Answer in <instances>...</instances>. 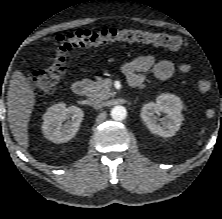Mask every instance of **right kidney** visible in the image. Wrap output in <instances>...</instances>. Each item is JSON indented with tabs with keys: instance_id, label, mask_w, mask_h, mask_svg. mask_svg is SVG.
I'll return each mask as SVG.
<instances>
[{
	"instance_id": "ca27d5eb",
	"label": "right kidney",
	"mask_w": 222,
	"mask_h": 219,
	"mask_svg": "<svg viewBox=\"0 0 222 219\" xmlns=\"http://www.w3.org/2000/svg\"><path fill=\"white\" fill-rule=\"evenodd\" d=\"M83 116L82 109L76 106L66 107L65 103L51 106L43 115L44 137L54 143L69 141L78 132Z\"/></svg>"
}]
</instances>
